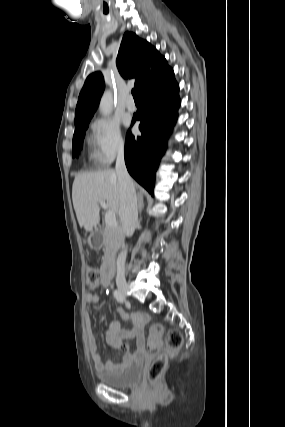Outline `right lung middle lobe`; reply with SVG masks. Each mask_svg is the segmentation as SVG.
Returning <instances> with one entry per match:
<instances>
[{
	"mask_svg": "<svg viewBox=\"0 0 285 427\" xmlns=\"http://www.w3.org/2000/svg\"><path fill=\"white\" fill-rule=\"evenodd\" d=\"M88 124L83 125L79 128L75 129V133L73 136V143H72V156H78L79 150L82 147L83 138L85 136V130L87 129Z\"/></svg>",
	"mask_w": 285,
	"mask_h": 427,
	"instance_id": "right-lung-middle-lobe-1",
	"label": "right lung middle lobe"
}]
</instances>
